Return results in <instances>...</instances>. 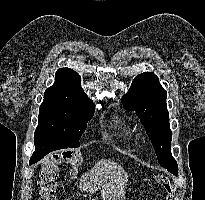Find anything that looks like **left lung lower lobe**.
Wrapping results in <instances>:
<instances>
[{
    "label": "left lung lower lobe",
    "mask_w": 205,
    "mask_h": 200,
    "mask_svg": "<svg viewBox=\"0 0 205 200\" xmlns=\"http://www.w3.org/2000/svg\"><path fill=\"white\" fill-rule=\"evenodd\" d=\"M169 172L173 173L174 175L178 174V167L175 166V168H166Z\"/></svg>",
    "instance_id": "left-lung-lower-lobe-1"
}]
</instances>
